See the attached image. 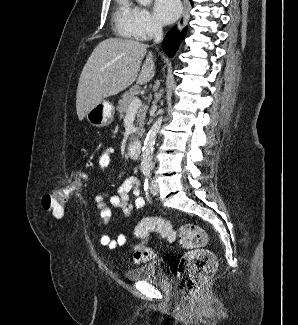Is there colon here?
I'll use <instances>...</instances> for the list:
<instances>
[{
	"mask_svg": "<svg viewBox=\"0 0 298 325\" xmlns=\"http://www.w3.org/2000/svg\"><path fill=\"white\" fill-rule=\"evenodd\" d=\"M87 179L86 172L77 171L69 186L52 189L43 195L42 207L51 211L55 217H62L69 196L80 190ZM152 232H157L169 242L177 241L187 250L179 263L177 277L181 290L187 297L198 295L210 281L217 267L214 254L205 248L206 232L195 224H186L175 230L163 217L143 218L134 229V235L140 239L132 249V257L136 263L153 259L154 252L146 244Z\"/></svg>",
	"mask_w": 298,
	"mask_h": 325,
	"instance_id": "5ec220e1",
	"label": "colon"
}]
</instances>
